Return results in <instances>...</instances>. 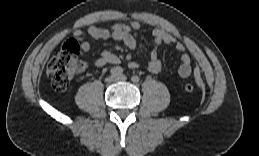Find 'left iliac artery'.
<instances>
[{"mask_svg":"<svg viewBox=\"0 0 259 156\" xmlns=\"http://www.w3.org/2000/svg\"><path fill=\"white\" fill-rule=\"evenodd\" d=\"M131 80H132L134 83H138L139 80H140V78H139V76L134 75V76H132Z\"/></svg>","mask_w":259,"mask_h":156,"instance_id":"44dca946","label":"left iliac artery"}]
</instances>
